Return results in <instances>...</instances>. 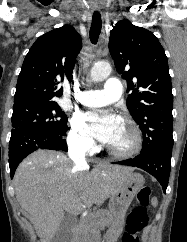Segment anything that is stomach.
Wrapping results in <instances>:
<instances>
[{
	"label": "stomach",
	"mask_w": 187,
	"mask_h": 242,
	"mask_svg": "<svg viewBox=\"0 0 187 242\" xmlns=\"http://www.w3.org/2000/svg\"><path fill=\"white\" fill-rule=\"evenodd\" d=\"M143 185L144 177L132 171L127 175L121 190L111 197L109 202L110 224L104 235L106 242H115L121 234L128 207Z\"/></svg>",
	"instance_id": "0dacf381"
}]
</instances>
